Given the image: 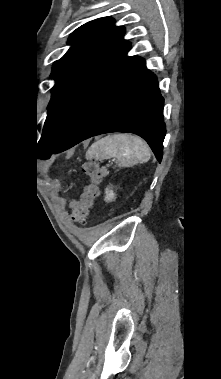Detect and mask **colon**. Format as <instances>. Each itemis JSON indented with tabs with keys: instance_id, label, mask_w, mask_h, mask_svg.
I'll return each instance as SVG.
<instances>
[{
	"instance_id": "5ec220e1",
	"label": "colon",
	"mask_w": 221,
	"mask_h": 379,
	"mask_svg": "<svg viewBox=\"0 0 221 379\" xmlns=\"http://www.w3.org/2000/svg\"><path fill=\"white\" fill-rule=\"evenodd\" d=\"M83 173L89 182L84 186L80 199L75 202L72 210V220L82 224L85 222L90 209L100 194V184L105 177V171L94 161H87L82 165Z\"/></svg>"
}]
</instances>
